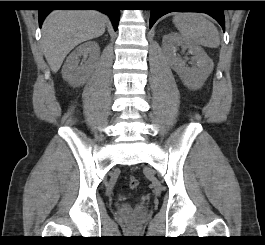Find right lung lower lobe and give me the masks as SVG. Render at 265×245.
<instances>
[{
    "instance_id": "right-lung-lower-lobe-1",
    "label": "right lung lower lobe",
    "mask_w": 265,
    "mask_h": 245,
    "mask_svg": "<svg viewBox=\"0 0 265 245\" xmlns=\"http://www.w3.org/2000/svg\"><path fill=\"white\" fill-rule=\"evenodd\" d=\"M58 6H61L58 4ZM63 6V5H62ZM80 6L96 7L97 10L104 14H107L112 21L115 30L118 28L120 10L117 8V1H90L89 3H83ZM51 9L39 10V26L41 27L45 17L51 12Z\"/></svg>"
}]
</instances>
